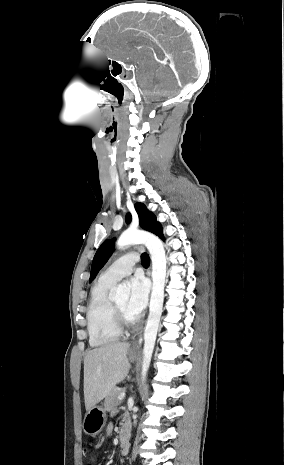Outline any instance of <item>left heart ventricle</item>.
<instances>
[{
	"label": "left heart ventricle",
	"mask_w": 284,
	"mask_h": 465,
	"mask_svg": "<svg viewBox=\"0 0 284 465\" xmlns=\"http://www.w3.org/2000/svg\"><path fill=\"white\" fill-rule=\"evenodd\" d=\"M115 303L118 306V308L120 309V311L123 313V315H125L129 319L134 318L128 311V307H127L128 301H127V299H121V300H119V301H117Z\"/></svg>",
	"instance_id": "b2bd125f"
}]
</instances>
